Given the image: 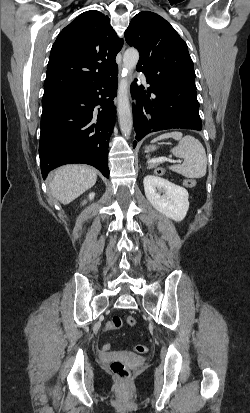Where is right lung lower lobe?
<instances>
[{
  "mask_svg": "<svg viewBox=\"0 0 250 413\" xmlns=\"http://www.w3.org/2000/svg\"><path fill=\"white\" fill-rule=\"evenodd\" d=\"M117 73L118 69L84 89L43 95L39 155L44 179L49 171L69 163L92 165L109 178Z\"/></svg>",
  "mask_w": 250,
  "mask_h": 413,
  "instance_id": "98d812e1",
  "label": "right lung lower lobe"
}]
</instances>
